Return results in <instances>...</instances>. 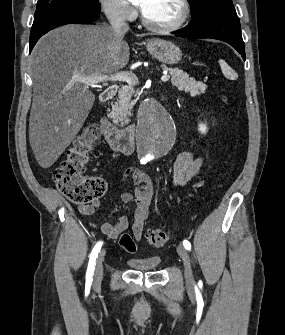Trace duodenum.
Wrapping results in <instances>:
<instances>
[{
    "label": "duodenum",
    "instance_id": "410a0bca",
    "mask_svg": "<svg viewBox=\"0 0 285 335\" xmlns=\"http://www.w3.org/2000/svg\"><path fill=\"white\" fill-rule=\"evenodd\" d=\"M118 91L117 85L108 87L101 96L103 103H108L116 95ZM100 127L104 139L109 146L116 152L124 155H129L135 148V127H119L108 116H103L100 119Z\"/></svg>",
    "mask_w": 285,
    "mask_h": 335
}]
</instances>
